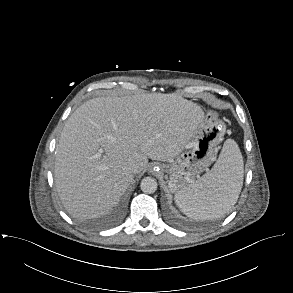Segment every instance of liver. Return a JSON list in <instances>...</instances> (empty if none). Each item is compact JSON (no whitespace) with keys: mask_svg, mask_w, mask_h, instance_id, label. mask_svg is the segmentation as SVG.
Returning <instances> with one entry per match:
<instances>
[{"mask_svg":"<svg viewBox=\"0 0 293 293\" xmlns=\"http://www.w3.org/2000/svg\"><path fill=\"white\" fill-rule=\"evenodd\" d=\"M202 108L182 96L138 94L91 99L68 118L56 148L55 184L74 218L109 213L148 159L169 161L194 136Z\"/></svg>","mask_w":293,"mask_h":293,"instance_id":"6515ba94","label":"liver"}]
</instances>
